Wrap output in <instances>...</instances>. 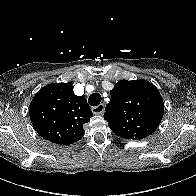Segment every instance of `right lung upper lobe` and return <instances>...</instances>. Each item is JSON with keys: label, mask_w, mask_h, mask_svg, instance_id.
Instances as JSON below:
<instances>
[{"label": "right lung upper lobe", "mask_w": 196, "mask_h": 196, "mask_svg": "<svg viewBox=\"0 0 196 196\" xmlns=\"http://www.w3.org/2000/svg\"><path fill=\"white\" fill-rule=\"evenodd\" d=\"M29 114L37 133L59 145L79 141L85 133L83 125L93 116L85 97L74 94L71 82L40 89L30 103Z\"/></svg>", "instance_id": "obj_1"}]
</instances>
